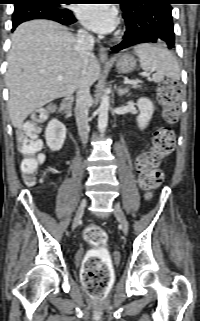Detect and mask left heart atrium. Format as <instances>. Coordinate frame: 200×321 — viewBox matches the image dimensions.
Wrapping results in <instances>:
<instances>
[{
  "mask_svg": "<svg viewBox=\"0 0 200 321\" xmlns=\"http://www.w3.org/2000/svg\"><path fill=\"white\" fill-rule=\"evenodd\" d=\"M77 15L83 25L98 33L111 32L117 23L116 13L105 4H83Z\"/></svg>",
  "mask_w": 200,
  "mask_h": 321,
  "instance_id": "39dd6f15",
  "label": "left heart atrium"
}]
</instances>
